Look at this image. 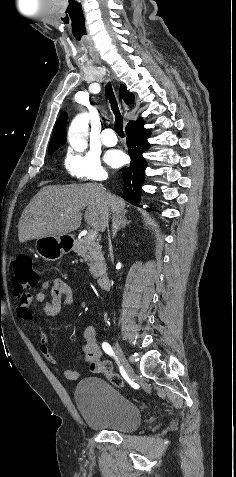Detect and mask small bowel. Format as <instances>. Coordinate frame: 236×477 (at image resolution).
Returning <instances> with one entry per match:
<instances>
[{
	"mask_svg": "<svg viewBox=\"0 0 236 477\" xmlns=\"http://www.w3.org/2000/svg\"><path fill=\"white\" fill-rule=\"evenodd\" d=\"M50 291V300L46 301V291ZM74 289L72 285L62 278H49L41 283L39 291L31 300L29 306L19 305L17 307L18 315L25 321L38 326L34 323V316L31 310L32 303L42 304V314L45 318H53L57 316L64 305H70L74 302ZM40 351L43 357L50 364L56 365L57 359L49 347L50 340L45 333H39ZM83 361L90 363V371L92 373H102L101 355L102 350L97 341V329L94 325H88L84 329V341L81 345ZM60 372L68 380H77L81 374L77 370L68 368H59Z\"/></svg>",
	"mask_w": 236,
	"mask_h": 477,
	"instance_id": "obj_1",
	"label": "small bowel"
}]
</instances>
